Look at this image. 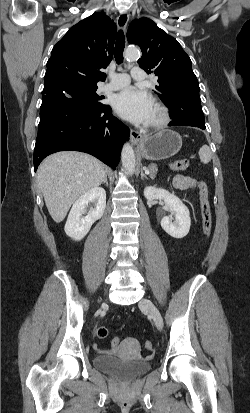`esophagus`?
Listing matches in <instances>:
<instances>
[{"instance_id": "esophagus-1", "label": "esophagus", "mask_w": 250, "mask_h": 413, "mask_svg": "<svg viewBox=\"0 0 250 413\" xmlns=\"http://www.w3.org/2000/svg\"><path fill=\"white\" fill-rule=\"evenodd\" d=\"M129 21V13L122 12L117 18V26L120 30H125ZM141 134L135 130L130 131V141L132 144H137L141 139Z\"/></svg>"}]
</instances>
